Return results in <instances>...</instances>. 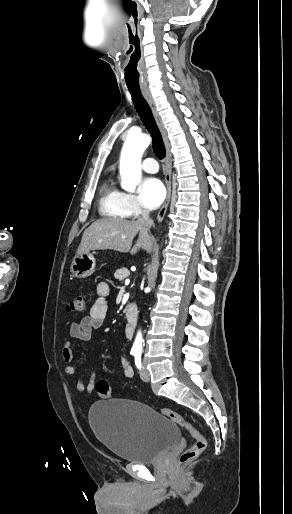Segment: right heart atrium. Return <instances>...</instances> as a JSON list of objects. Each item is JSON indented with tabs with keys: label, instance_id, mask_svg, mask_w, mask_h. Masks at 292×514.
Returning a JSON list of instances; mask_svg holds the SVG:
<instances>
[{
	"label": "right heart atrium",
	"instance_id": "obj_1",
	"mask_svg": "<svg viewBox=\"0 0 292 514\" xmlns=\"http://www.w3.org/2000/svg\"><path fill=\"white\" fill-rule=\"evenodd\" d=\"M124 202L129 212H138L143 209L138 198L131 193H124Z\"/></svg>",
	"mask_w": 292,
	"mask_h": 514
}]
</instances>
